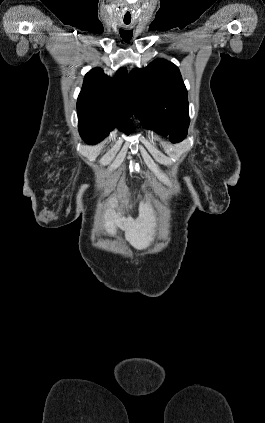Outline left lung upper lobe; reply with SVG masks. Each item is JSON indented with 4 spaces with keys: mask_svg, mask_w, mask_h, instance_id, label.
Returning a JSON list of instances; mask_svg holds the SVG:
<instances>
[{
    "mask_svg": "<svg viewBox=\"0 0 265 423\" xmlns=\"http://www.w3.org/2000/svg\"><path fill=\"white\" fill-rule=\"evenodd\" d=\"M135 116L143 126L174 143L182 141L189 126L187 90L180 71L173 63L157 59L144 69L130 73Z\"/></svg>",
    "mask_w": 265,
    "mask_h": 423,
    "instance_id": "left-lung-upper-lobe-1",
    "label": "left lung upper lobe"
}]
</instances>
